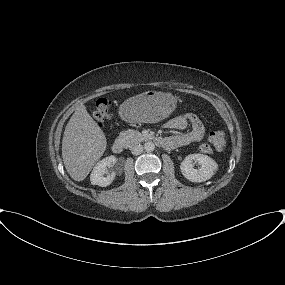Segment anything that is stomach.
Returning a JSON list of instances; mask_svg holds the SVG:
<instances>
[{
    "label": "stomach",
    "mask_w": 285,
    "mask_h": 285,
    "mask_svg": "<svg viewBox=\"0 0 285 285\" xmlns=\"http://www.w3.org/2000/svg\"><path fill=\"white\" fill-rule=\"evenodd\" d=\"M176 105V97L169 92L146 91L124 101L119 113L129 122L155 123L168 117Z\"/></svg>",
    "instance_id": "obj_1"
}]
</instances>
